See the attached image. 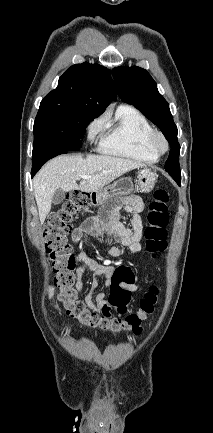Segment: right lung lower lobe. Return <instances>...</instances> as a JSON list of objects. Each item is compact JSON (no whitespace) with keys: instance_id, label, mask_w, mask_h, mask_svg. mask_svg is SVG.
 Here are the masks:
<instances>
[{"instance_id":"1","label":"right lung lower lobe","mask_w":213,"mask_h":433,"mask_svg":"<svg viewBox=\"0 0 213 433\" xmlns=\"http://www.w3.org/2000/svg\"><path fill=\"white\" fill-rule=\"evenodd\" d=\"M69 150L59 148V147H46L36 152H33L32 155V171L31 177H33L36 172L42 167V165L52 157H55L60 154H65Z\"/></svg>"}]
</instances>
